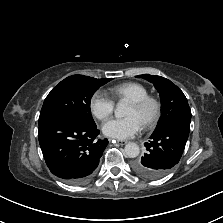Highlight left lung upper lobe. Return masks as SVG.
I'll return each mask as SVG.
<instances>
[{
  "instance_id": "5c2ea615",
  "label": "left lung upper lobe",
  "mask_w": 223,
  "mask_h": 223,
  "mask_svg": "<svg viewBox=\"0 0 223 223\" xmlns=\"http://www.w3.org/2000/svg\"><path fill=\"white\" fill-rule=\"evenodd\" d=\"M153 83L161 98V117L155 131L163 127L180 123L190 127L191 110L183 92L170 80L150 74L136 76Z\"/></svg>"
}]
</instances>
